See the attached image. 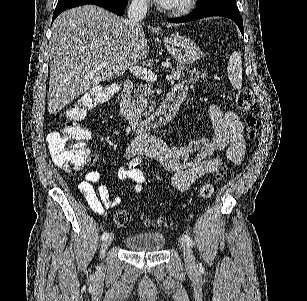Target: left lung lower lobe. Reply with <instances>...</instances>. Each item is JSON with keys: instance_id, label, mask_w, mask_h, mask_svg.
<instances>
[{"instance_id": "1", "label": "left lung lower lobe", "mask_w": 307, "mask_h": 301, "mask_svg": "<svg viewBox=\"0 0 307 301\" xmlns=\"http://www.w3.org/2000/svg\"><path fill=\"white\" fill-rule=\"evenodd\" d=\"M210 16H223L230 18L233 20L237 26L239 27L241 33L244 35L243 21L239 11H233L228 9H220V8H208L204 10H194L191 14L181 17V18H173L168 19V22L172 23H182L189 22L198 19H202Z\"/></svg>"}]
</instances>
